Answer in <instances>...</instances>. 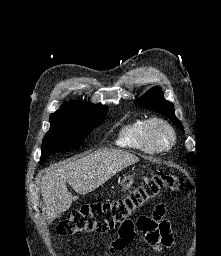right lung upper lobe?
I'll use <instances>...</instances> for the list:
<instances>
[{
    "instance_id": "cb5924a9",
    "label": "right lung upper lobe",
    "mask_w": 221,
    "mask_h": 256,
    "mask_svg": "<svg viewBox=\"0 0 221 256\" xmlns=\"http://www.w3.org/2000/svg\"><path fill=\"white\" fill-rule=\"evenodd\" d=\"M91 104L87 102H82V101H69L66 102L62 107L57 110L55 113L52 114H70V113H75L77 112L80 108Z\"/></svg>"
}]
</instances>
